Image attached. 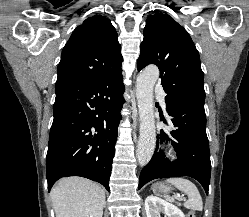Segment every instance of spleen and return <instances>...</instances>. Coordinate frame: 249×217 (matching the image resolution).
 Masks as SVG:
<instances>
[{
    "label": "spleen",
    "mask_w": 249,
    "mask_h": 217,
    "mask_svg": "<svg viewBox=\"0 0 249 217\" xmlns=\"http://www.w3.org/2000/svg\"><path fill=\"white\" fill-rule=\"evenodd\" d=\"M166 182L173 184L176 188L188 195L189 199L184 203L186 208L197 211H201L203 209L201 195L195 184L190 180L181 177H174L167 179ZM165 198L168 201H174V199L168 195H166Z\"/></svg>",
    "instance_id": "spleen-1"
}]
</instances>
